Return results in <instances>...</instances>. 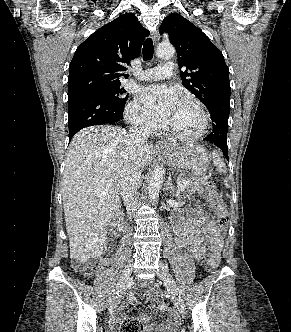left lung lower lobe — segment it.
<instances>
[{"instance_id": "0a47b994", "label": "left lung lower lobe", "mask_w": 291, "mask_h": 332, "mask_svg": "<svg viewBox=\"0 0 291 332\" xmlns=\"http://www.w3.org/2000/svg\"><path fill=\"white\" fill-rule=\"evenodd\" d=\"M208 110L211 113L213 130L204 140L212 142L219 147L228 160L227 131L230 100H217Z\"/></svg>"}]
</instances>
